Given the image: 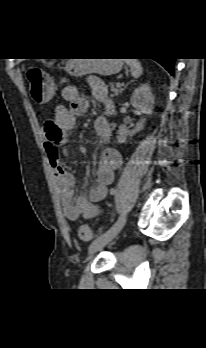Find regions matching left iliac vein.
Masks as SVG:
<instances>
[{"label":"left iliac vein","instance_id":"left-iliac-vein-1","mask_svg":"<svg viewBox=\"0 0 206 348\" xmlns=\"http://www.w3.org/2000/svg\"><path fill=\"white\" fill-rule=\"evenodd\" d=\"M126 220L127 215L122 214L110 229L101 234L91 243V245L89 246V254H93L97 251L102 250L109 242H111L122 230L126 223Z\"/></svg>","mask_w":206,"mask_h":348}]
</instances>
